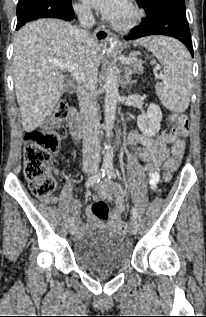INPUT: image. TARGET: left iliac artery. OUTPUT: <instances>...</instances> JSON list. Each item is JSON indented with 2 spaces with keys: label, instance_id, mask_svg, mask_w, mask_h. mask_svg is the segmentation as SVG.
I'll return each instance as SVG.
<instances>
[{
  "label": "left iliac artery",
  "instance_id": "44dca946",
  "mask_svg": "<svg viewBox=\"0 0 206 317\" xmlns=\"http://www.w3.org/2000/svg\"><path fill=\"white\" fill-rule=\"evenodd\" d=\"M107 176L110 179L116 177V173H115L113 166L107 167ZM131 214H132L133 218L137 217V209L134 206L131 208Z\"/></svg>",
  "mask_w": 206,
  "mask_h": 317
}]
</instances>
